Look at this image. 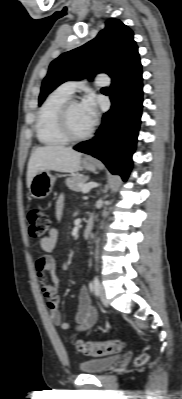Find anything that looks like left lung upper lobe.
Wrapping results in <instances>:
<instances>
[{"label": "left lung upper lobe", "instance_id": "obj_1", "mask_svg": "<svg viewBox=\"0 0 182 399\" xmlns=\"http://www.w3.org/2000/svg\"><path fill=\"white\" fill-rule=\"evenodd\" d=\"M133 31L118 19H110L106 27L86 44L63 53L49 66L39 96V105L46 96L65 81L93 78L106 72L113 80L128 74L140 64Z\"/></svg>", "mask_w": 182, "mask_h": 399}]
</instances>
